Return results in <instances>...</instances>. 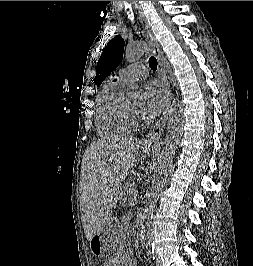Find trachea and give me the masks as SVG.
Wrapping results in <instances>:
<instances>
[{"label":"trachea","mask_w":253,"mask_h":266,"mask_svg":"<svg viewBox=\"0 0 253 266\" xmlns=\"http://www.w3.org/2000/svg\"><path fill=\"white\" fill-rule=\"evenodd\" d=\"M157 60H156V58L154 57V56H152V57H150V59H149V66H150V68L153 70V71H155L156 69H157Z\"/></svg>","instance_id":"obj_1"}]
</instances>
